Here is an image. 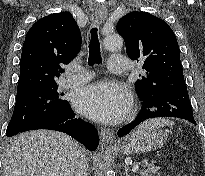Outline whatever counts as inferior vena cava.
I'll use <instances>...</instances> for the list:
<instances>
[{
    "label": "inferior vena cava",
    "mask_w": 205,
    "mask_h": 176,
    "mask_svg": "<svg viewBox=\"0 0 205 176\" xmlns=\"http://www.w3.org/2000/svg\"><path fill=\"white\" fill-rule=\"evenodd\" d=\"M88 168L89 166L85 151L80 149L77 153L75 161V176H89Z\"/></svg>",
    "instance_id": "obj_1"
}]
</instances>
